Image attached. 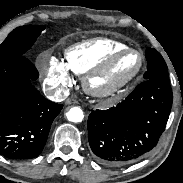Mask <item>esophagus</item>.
<instances>
[{"instance_id": "obj_1", "label": "esophagus", "mask_w": 183, "mask_h": 183, "mask_svg": "<svg viewBox=\"0 0 183 183\" xmlns=\"http://www.w3.org/2000/svg\"><path fill=\"white\" fill-rule=\"evenodd\" d=\"M66 104L67 105H76V104H78V101L74 98H70V99L66 100Z\"/></svg>"}]
</instances>
